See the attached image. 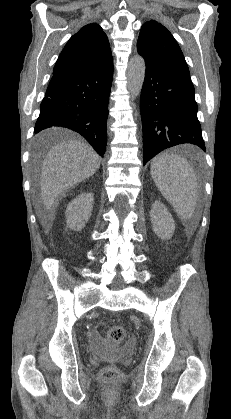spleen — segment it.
Instances as JSON below:
<instances>
[{
  "label": "spleen",
  "instance_id": "spleen-1",
  "mask_svg": "<svg viewBox=\"0 0 231 419\" xmlns=\"http://www.w3.org/2000/svg\"><path fill=\"white\" fill-rule=\"evenodd\" d=\"M150 171L161 194L182 219L189 220L197 201V179L190 164L181 156L163 153L153 159Z\"/></svg>",
  "mask_w": 231,
  "mask_h": 419
}]
</instances>
